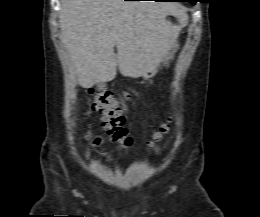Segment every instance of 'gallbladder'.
I'll list each match as a JSON object with an SVG mask.
<instances>
[{"label": "gallbladder", "mask_w": 260, "mask_h": 217, "mask_svg": "<svg viewBox=\"0 0 260 217\" xmlns=\"http://www.w3.org/2000/svg\"><path fill=\"white\" fill-rule=\"evenodd\" d=\"M98 87H103L104 86V83L103 82H98L96 83Z\"/></svg>", "instance_id": "obj_1"}]
</instances>
